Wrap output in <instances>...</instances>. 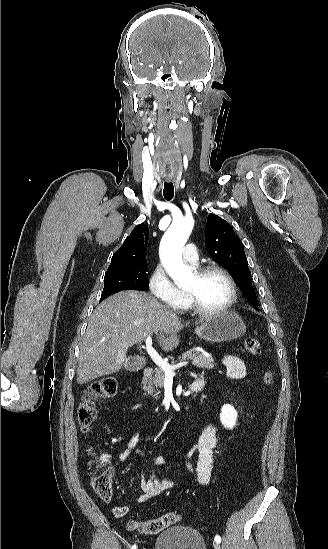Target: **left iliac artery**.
<instances>
[{
  "mask_svg": "<svg viewBox=\"0 0 328 549\" xmlns=\"http://www.w3.org/2000/svg\"><path fill=\"white\" fill-rule=\"evenodd\" d=\"M215 541L218 542V543H220V542H221V537L218 536V535H216V536H215Z\"/></svg>",
  "mask_w": 328,
  "mask_h": 549,
  "instance_id": "1",
  "label": "left iliac artery"
}]
</instances>
